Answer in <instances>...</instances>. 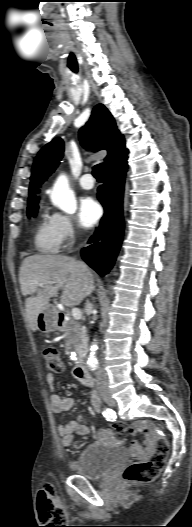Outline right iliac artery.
Segmentation results:
<instances>
[{
    "mask_svg": "<svg viewBox=\"0 0 192 527\" xmlns=\"http://www.w3.org/2000/svg\"><path fill=\"white\" fill-rule=\"evenodd\" d=\"M103 415L106 417L108 421H112V423H115V420H113L115 417L112 413V410L106 409L103 411Z\"/></svg>",
    "mask_w": 192,
    "mask_h": 527,
    "instance_id": "82829eb1",
    "label": "right iliac artery"
}]
</instances>
